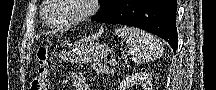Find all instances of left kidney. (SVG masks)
<instances>
[{
    "label": "left kidney",
    "instance_id": "obj_1",
    "mask_svg": "<svg viewBox=\"0 0 216 90\" xmlns=\"http://www.w3.org/2000/svg\"><path fill=\"white\" fill-rule=\"evenodd\" d=\"M151 80L150 72H138L124 78L118 90H152Z\"/></svg>",
    "mask_w": 216,
    "mask_h": 90
}]
</instances>
